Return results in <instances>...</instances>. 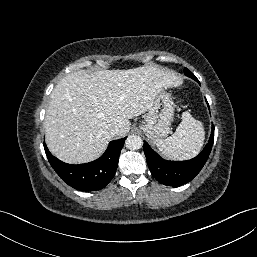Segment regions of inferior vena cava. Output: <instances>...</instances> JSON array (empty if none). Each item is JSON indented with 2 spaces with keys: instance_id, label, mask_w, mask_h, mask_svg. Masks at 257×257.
Segmentation results:
<instances>
[{
  "instance_id": "inferior-vena-cava-1",
  "label": "inferior vena cava",
  "mask_w": 257,
  "mask_h": 257,
  "mask_svg": "<svg viewBox=\"0 0 257 257\" xmlns=\"http://www.w3.org/2000/svg\"><path fill=\"white\" fill-rule=\"evenodd\" d=\"M109 133L111 136H115L118 133V128H111Z\"/></svg>"
}]
</instances>
